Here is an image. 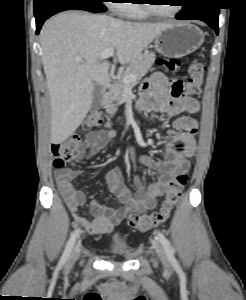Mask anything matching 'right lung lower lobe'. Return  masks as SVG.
Segmentation results:
<instances>
[{
	"instance_id": "obj_1",
	"label": "right lung lower lobe",
	"mask_w": 246,
	"mask_h": 300,
	"mask_svg": "<svg viewBox=\"0 0 246 300\" xmlns=\"http://www.w3.org/2000/svg\"><path fill=\"white\" fill-rule=\"evenodd\" d=\"M106 10V8H104ZM65 10H86L103 12L105 10L92 6L87 0H46L39 6H34L38 34L44 21L52 15Z\"/></svg>"
}]
</instances>
